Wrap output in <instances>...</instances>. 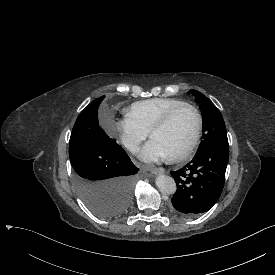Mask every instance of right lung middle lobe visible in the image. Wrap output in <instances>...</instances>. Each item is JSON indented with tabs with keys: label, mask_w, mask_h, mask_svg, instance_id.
Returning <instances> with one entry per match:
<instances>
[{
	"label": "right lung middle lobe",
	"mask_w": 275,
	"mask_h": 275,
	"mask_svg": "<svg viewBox=\"0 0 275 275\" xmlns=\"http://www.w3.org/2000/svg\"><path fill=\"white\" fill-rule=\"evenodd\" d=\"M104 98L95 99L78 116L69 157L82 200L96 215L114 218L129 208L141 175L124 149L99 126L98 107Z\"/></svg>",
	"instance_id": "1"
}]
</instances>
